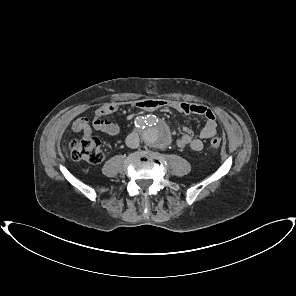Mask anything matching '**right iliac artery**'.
<instances>
[{"label": "right iliac artery", "instance_id": "1", "mask_svg": "<svg viewBox=\"0 0 296 296\" xmlns=\"http://www.w3.org/2000/svg\"><path fill=\"white\" fill-rule=\"evenodd\" d=\"M135 124H136V122H135ZM140 125L142 126V121H137V125H136V127H140Z\"/></svg>", "mask_w": 296, "mask_h": 296}]
</instances>
